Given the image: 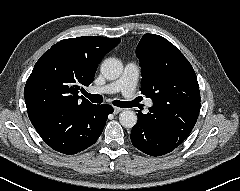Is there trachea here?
<instances>
[{"mask_svg": "<svg viewBox=\"0 0 240 191\" xmlns=\"http://www.w3.org/2000/svg\"><path fill=\"white\" fill-rule=\"evenodd\" d=\"M85 97H87L91 102L93 103H102L103 97L99 94H89L87 92L83 93ZM113 105L120 107V108H131L134 106V102H129V101H119V100H114Z\"/></svg>", "mask_w": 240, "mask_h": 191, "instance_id": "trachea-1", "label": "trachea"}]
</instances>
